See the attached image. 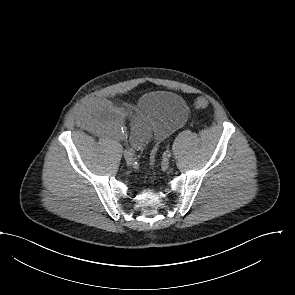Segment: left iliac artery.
<instances>
[{
    "label": "left iliac artery",
    "instance_id": "44dca946",
    "mask_svg": "<svg viewBox=\"0 0 295 295\" xmlns=\"http://www.w3.org/2000/svg\"><path fill=\"white\" fill-rule=\"evenodd\" d=\"M164 155L166 157H170L171 156V151H169V150L165 151Z\"/></svg>",
    "mask_w": 295,
    "mask_h": 295
}]
</instances>
